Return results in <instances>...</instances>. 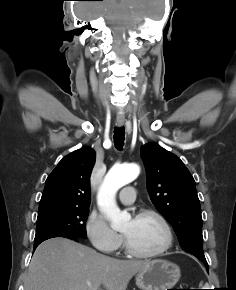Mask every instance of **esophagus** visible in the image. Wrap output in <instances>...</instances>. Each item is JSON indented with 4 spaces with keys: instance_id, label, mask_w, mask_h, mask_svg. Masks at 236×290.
<instances>
[{
    "instance_id": "1",
    "label": "esophagus",
    "mask_w": 236,
    "mask_h": 290,
    "mask_svg": "<svg viewBox=\"0 0 236 290\" xmlns=\"http://www.w3.org/2000/svg\"><path fill=\"white\" fill-rule=\"evenodd\" d=\"M125 122V117L123 114H118L116 117V124L119 127H122L124 125Z\"/></svg>"
}]
</instances>
